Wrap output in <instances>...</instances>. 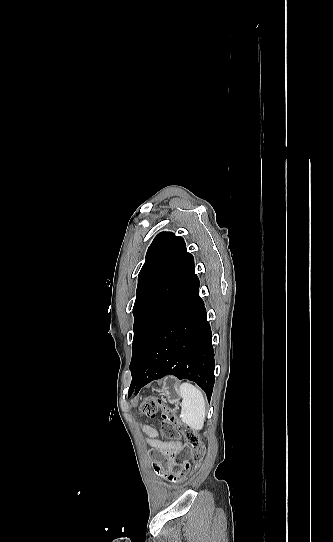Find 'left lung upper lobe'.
Wrapping results in <instances>:
<instances>
[{"label":"left lung upper lobe","instance_id":"left-lung-upper-lobe-1","mask_svg":"<svg viewBox=\"0 0 333 542\" xmlns=\"http://www.w3.org/2000/svg\"><path fill=\"white\" fill-rule=\"evenodd\" d=\"M197 281L194 258L186 251L183 238L171 232L158 234L148 248L146 261L138 276L133 307L132 377L140 371L158 331Z\"/></svg>","mask_w":333,"mask_h":542}]
</instances>
